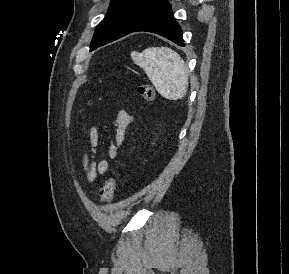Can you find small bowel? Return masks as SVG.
<instances>
[{
	"instance_id": "obj_1",
	"label": "small bowel",
	"mask_w": 289,
	"mask_h": 274,
	"mask_svg": "<svg viewBox=\"0 0 289 274\" xmlns=\"http://www.w3.org/2000/svg\"><path fill=\"white\" fill-rule=\"evenodd\" d=\"M133 121V116L124 109H120L116 114L115 134L108 149L110 159H116L118 151L122 147L128 129ZM99 132L96 125L89 130V147L83 150L82 165L85 179L89 183H94L99 174H106L109 170L108 162L98 157Z\"/></svg>"
}]
</instances>
